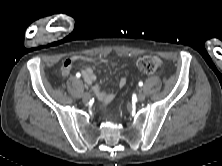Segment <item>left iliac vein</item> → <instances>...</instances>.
<instances>
[{
	"instance_id": "4c4485c4",
	"label": "left iliac vein",
	"mask_w": 222,
	"mask_h": 166,
	"mask_svg": "<svg viewBox=\"0 0 222 166\" xmlns=\"http://www.w3.org/2000/svg\"><path fill=\"white\" fill-rule=\"evenodd\" d=\"M139 101H144L145 100V94L143 92H139L137 96Z\"/></svg>"
}]
</instances>
